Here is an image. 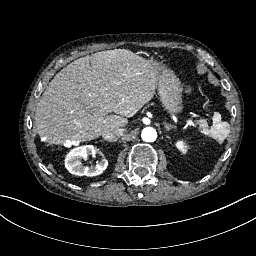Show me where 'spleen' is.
Masks as SVG:
<instances>
[{
    "label": "spleen",
    "instance_id": "1",
    "mask_svg": "<svg viewBox=\"0 0 256 256\" xmlns=\"http://www.w3.org/2000/svg\"><path fill=\"white\" fill-rule=\"evenodd\" d=\"M230 133V124L227 121H222L220 115L216 114L213 117L211 127L206 131L205 137L215 140L222 145Z\"/></svg>",
    "mask_w": 256,
    "mask_h": 256
}]
</instances>
